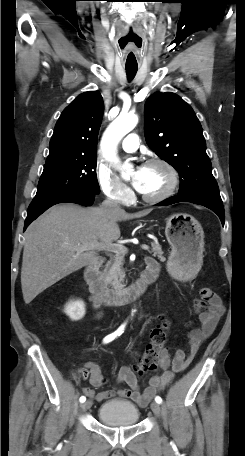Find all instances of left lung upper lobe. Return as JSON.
<instances>
[{
	"label": "left lung upper lobe",
	"mask_w": 245,
	"mask_h": 456,
	"mask_svg": "<svg viewBox=\"0 0 245 456\" xmlns=\"http://www.w3.org/2000/svg\"><path fill=\"white\" fill-rule=\"evenodd\" d=\"M144 110L149 147L181 176L178 197L222 205L202 127L190 105L175 93L157 92Z\"/></svg>",
	"instance_id": "left-lung-upper-lobe-1"
}]
</instances>
